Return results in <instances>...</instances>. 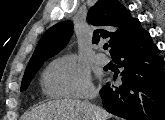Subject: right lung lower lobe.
I'll return each instance as SVG.
<instances>
[{
    "label": "right lung lower lobe",
    "mask_w": 165,
    "mask_h": 120,
    "mask_svg": "<svg viewBox=\"0 0 165 120\" xmlns=\"http://www.w3.org/2000/svg\"><path fill=\"white\" fill-rule=\"evenodd\" d=\"M112 58L125 68L121 73L123 83L119 87L107 84L101 89L104 108L127 120H164V60L149 33L121 48Z\"/></svg>",
    "instance_id": "1"
}]
</instances>
